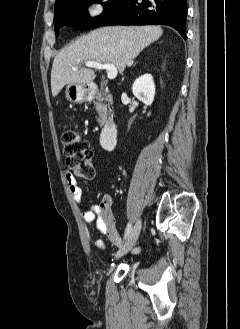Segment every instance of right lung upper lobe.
<instances>
[{
    "mask_svg": "<svg viewBox=\"0 0 240 329\" xmlns=\"http://www.w3.org/2000/svg\"><path fill=\"white\" fill-rule=\"evenodd\" d=\"M69 0H56L55 2V9L60 7L61 5H63L65 2H67Z\"/></svg>",
    "mask_w": 240,
    "mask_h": 329,
    "instance_id": "obj_1",
    "label": "right lung upper lobe"
}]
</instances>
